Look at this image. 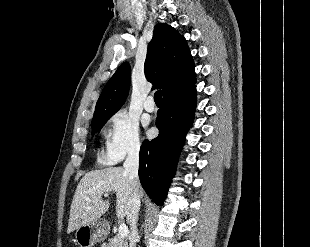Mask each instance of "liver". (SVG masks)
Masks as SVG:
<instances>
[{
  "label": "liver",
  "instance_id": "obj_1",
  "mask_svg": "<svg viewBox=\"0 0 310 247\" xmlns=\"http://www.w3.org/2000/svg\"><path fill=\"white\" fill-rule=\"evenodd\" d=\"M116 194V215L128 220L131 210V191L127 174L122 167H109L86 173L80 180L70 208L67 233L79 226L99 219L109 209V200L102 196ZM140 198L142 190H139Z\"/></svg>",
  "mask_w": 310,
  "mask_h": 247
}]
</instances>
